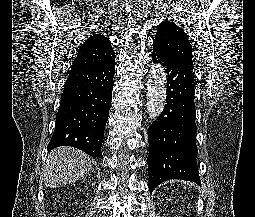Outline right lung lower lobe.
<instances>
[{
	"instance_id": "obj_1",
	"label": "right lung lower lobe",
	"mask_w": 255,
	"mask_h": 217,
	"mask_svg": "<svg viewBox=\"0 0 255 217\" xmlns=\"http://www.w3.org/2000/svg\"><path fill=\"white\" fill-rule=\"evenodd\" d=\"M114 73V60L100 66L71 68L49 151L71 146L94 158H103L101 144L111 106Z\"/></svg>"
}]
</instances>
